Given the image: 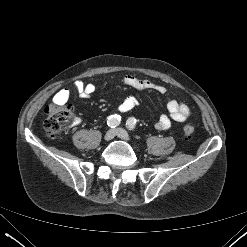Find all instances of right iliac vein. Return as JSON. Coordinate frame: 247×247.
<instances>
[{
  "mask_svg": "<svg viewBox=\"0 0 247 247\" xmlns=\"http://www.w3.org/2000/svg\"><path fill=\"white\" fill-rule=\"evenodd\" d=\"M115 130L114 129H110L106 132V134L104 135V140L105 141H110L115 137Z\"/></svg>",
  "mask_w": 247,
  "mask_h": 247,
  "instance_id": "right-iliac-vein-1",
  "label": "right iliac vein"
}]
</instances>
